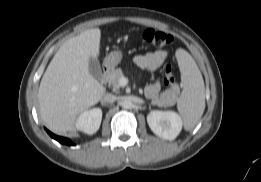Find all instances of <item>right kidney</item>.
<instances>
[{"label": "right kidney", "instance_id": "1", "mask_svg": "<svg viewBox=\"0 0 261 182\" xmlns=\"http://www.w3.org/2000/svg\"><path fill=\"white\" fill-rule=\"evenodd\" d=\"M101 120L102 110L100 108L86 110L77 118L76 128L84 133L92 135L98 131Z\"/></svg>", "mask_w": 261, "mask_h": 182}]
</instances>
